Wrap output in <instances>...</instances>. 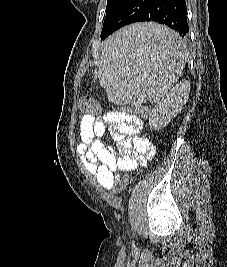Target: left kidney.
<instances>
[{
	"label": "left kidney",
	"mask_w": 227,
	"mask_h": 267,
	"mask_svg": "<svg viewBox=\"0 0 227 267\" xmlns=\"http://www.w3.org/2000/svg\"><path fill=\"white\" fill-rule=\"evenodd\" d=\"M190 88V81L182 80L157 103L149 118L152 130L162 129L177 116L189 98Z\"/></svg>",
	"instance_id": "left-kidney-1"
}]
</instances>
